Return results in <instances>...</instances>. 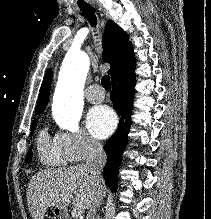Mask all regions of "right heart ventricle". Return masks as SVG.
<instances>
[{"instance_id":"1","label":"right heart ventricle","mask_w":211,"mask_h":219,"mask_svg":"<svg viewBox=\"0 0 211 219\" xmlns=\"http://www.w3.org/2000/svg\"><path fill=\"white\" fill-rule=\"evenodd\" d=\"M37 151L41 162L45 165L60 166L69 161L56 139L51 138L45 130H41L38 134Z\"/></svg>"}]
</instances>
